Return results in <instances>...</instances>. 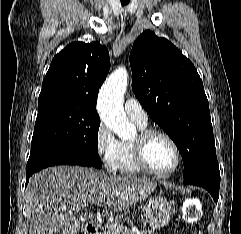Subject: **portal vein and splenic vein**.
I'll use <instances>...</instances> for the list:
<instances>
[{
    "mask_svg": "<svg viewBox=\"0 0 241 234\" xmlns=\"http://www.w3.org/2000/svg\"><path fill=\"white\" fill-rule=\"evenodd\" d=\"M103 202H104V200H99V201L97 202V205L100 206ZM110 225H111V224H110L109 222H107V223L105 224L106 227H108V226H110ZM117 231H120V229L117 228Z\"/></svg>",
    "mask_w": 241,
    "mask_h": 234,
    "instance_id": "18ae733b",
    "label": "portal vein and splenic vein"
}]
</instances>
